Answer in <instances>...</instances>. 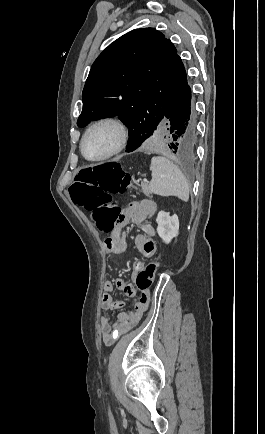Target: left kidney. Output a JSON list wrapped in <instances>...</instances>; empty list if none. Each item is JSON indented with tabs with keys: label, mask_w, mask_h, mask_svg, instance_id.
I'll return each instance as SVG.
<instances>
[{
	"label": "left kidney",
	"mask_w": 265,
	"mask_h": 434,
	"mask_svg": "<svg viewBox=\"0 0 265 434\" xmlns=\"http://www.w3.org/2000/svg\"><path fill=\"white\" fill-rule=\"evenodd\" d=\"M158 236L165 244H169L173 238L178 236L179 220L178 216H170L169 212H159L156 220Z\"/></svg>",
	"instance_id": "5707ae66"
}]
</instances>
